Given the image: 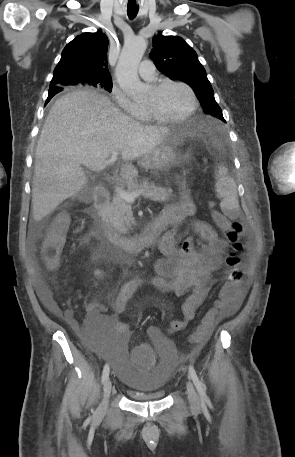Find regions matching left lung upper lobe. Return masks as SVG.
I'll return each mask as SVG.
<instances>
[{
	"label": "left lung upper lobe",
	"instance_id": "obj_1",
	"mask_svg": "<svg viewBox=\"0 0 295 457\" xmlns=\"http://www.w3.org/2000/svg\"><path fill=\"white\" fill-rule=\"evenodd\" d=\"M159 71L170 79L191 86L206 114L224 121L222 110L216 103L212 86L197 53L183 38L156 35L150 53Z\"/></svg>",
	"mask_w": 295,
	"mask_h": 457
}]
</instances>
